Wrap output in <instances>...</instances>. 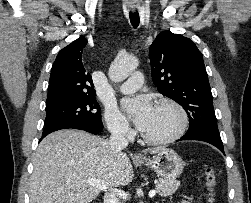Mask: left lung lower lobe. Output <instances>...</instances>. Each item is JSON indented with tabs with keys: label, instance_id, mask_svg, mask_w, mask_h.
<instances>
[{
	"label": "left lung lower lobe",
	"instance_id": "0a47b994",
	"mask_svg": "<svg viewBox=\"0 0 251 203\" xmlns=\"http://www.w3.org/2000/svg\"><path fill=\"white\" fill-rule=\"evenodd\" d=\"M182 140H198V141L208 142L213 146L217 147L222 153H224L223 143L219 132L202 130L193 133H186L178 141Z\"/></svg>",
	"mask_w": 251,
	"mask_h": 203
}]
</instances>
